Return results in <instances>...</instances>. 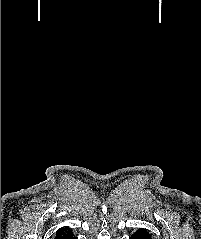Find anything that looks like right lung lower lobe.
<instances>
[{"label": "right lung lower lobe", "mask_w": 201, "mask_h": 239, "mask_svg": "<svg viewBox=\"0 0 201 239\" xmlns=\"http://www.w3.org/2000/svg\"><path fill=\"white\" fill-rule=\"evenodd\" d=\"M65 239H76V238H75V236L73 235V236L67 237V238H65Z\"/></svg>", "instance_id": "98d812e1"}]
</instances>
